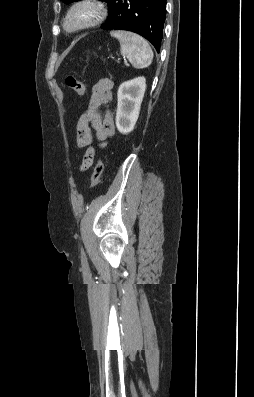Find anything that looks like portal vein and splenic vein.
Here are the masks:
<instances>
[{"label": "portal vein and splenic vein", "instance_id": "1", "mask_svg": "<svg viewBox=\"0 0 254 397\" xmlns=\"http://www.w3.org/2000/svg\"><path fill=\"white\" fill-rule=\"evenodd\" d=\"M124 63L127 65L128 63H127V61H124Z\"/></svg>", "mask_w": 254, "mask_h": 397}]
</instances>
